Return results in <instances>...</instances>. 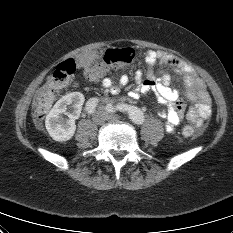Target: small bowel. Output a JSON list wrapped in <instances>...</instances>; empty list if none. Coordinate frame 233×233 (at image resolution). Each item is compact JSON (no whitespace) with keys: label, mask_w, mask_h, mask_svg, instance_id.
<instances>
[{"label":"small bowel","mask_w":233,"mask_h":233,"mask_svg":"<svg viewBox=\"0 0 233 233\" xmlns=\"http://www.w3.org/2000/svg\"><path fill=\"white\" fill-rule=\"evenodd\" d=\"M145 62L150 68V74L146 79H143L140 70L135 73V83L137 89L132 92L135 97L139 93L149 91L155 92L161 105L165 109L167 131H172L178 125L184 116L187 117L195 125L201 126L205 119L211 113V99L204 81L196 74L189 66L177 61L168 56L162 51L149 50L145 54ZM159 63L162 67H174L179 74L183 76L186 97L191 102L187 104L179 98V94L175 89L171 88V77L165 71H160V76L153 73V67ZM89 59L80 58L79 65L82 68L87 67ZM130 81L128 74H122L117 83L110 77H105L102 80V86L111 94H118L122 87L126 86Z\"/></svg>","instance_id":"small-bowel-1"}]
</instances>
